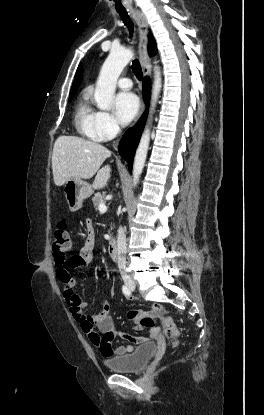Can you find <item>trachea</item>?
Segmentation results:
<instances>
[{"label":"trachea","mask_w":264,"mask_h":415,"mask_svg":"<svg viewBox=\"0 0 264 415\" xmlns=\"http://www.w3.org/2000/svg\"><path fill=\"white\" fill-rule=\"evenodd\" d=\"M119 15H120L124 25L128 28L129 33L132 37L134 27H133V23H132L131 19L129 18L127 12H119ZM131 67H132V71L135 74L136 78L138 80H142L143 73H142V69H141V66H140V63H139L138 59L133 60Z\"/></svg>","instance_id":"1"}]
</instances>
